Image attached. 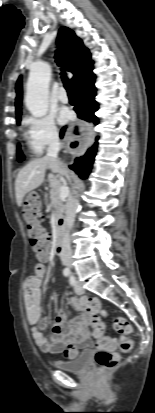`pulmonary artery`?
<instances>
[{
    "label": "pulmonary artery",
    "instance_id": "pulmonary-artery-1",
    "mask_svg": "<svg viewBox=\"0 0 155 413\" xmlns=\"http://www.w3.org/2000/svg\"><path fill=\"white\" fill-rule=\"evenodd\" d=\"M58 99L63 102L67 103L69 101L68 94L63 87H60L57 92Z\"/></svg>",
    "mask_w": 155,
    "mask_h": 413
}]
</instances>
